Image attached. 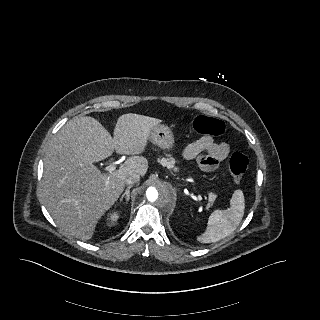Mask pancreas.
<instances>
[{"label":"pancreas","instance_id":"pancreas-1","mask_svg":"<svg viewBox=\"0 0 320 320\" xmlns=\"http://www.w3.org/2000/svg\"><path fill=\"white\" fill-rule=\"evenodd\" d=\"M160 164L162 166H165L167 167L168 169H173L174 168V164H175V159L172 158L170 155H169V158H162L161 160H159ZM174 170L177 172L178 171V168H174ZM216 199V195L214 193H210L209 194V202H214V200ZM210 206V204H209Z\"/></svg>","mask_w":320,"mask_h":320}]
</instances>
